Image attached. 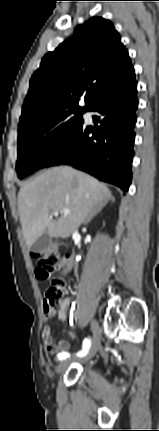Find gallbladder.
<instances>
[{"mask_svg":"<svg viewBox=\"0 0 159 431\" xmlns=\"http://www.w3.org/2000/svg\"><path fill=\"white\" fill-rule=\"evenodd\" d=\"M52 242V238L47 232L43 233L31 246L34 253H39L46 250Z\"/></svg>","mask_w":159,"mask_h":431,"instance_id":"1","label":"gallbladder"}]
</instances>
